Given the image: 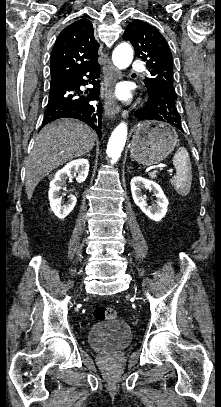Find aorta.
<instances>
[{
	"mask_svg": "<svg viewBox=\"0 0 221 407\" xmlns=\"http://www.w3.org/2000/svg\"><path fill=\"white\" fill-rule=\"evenodd\" d=\"M112 60L118 69L127 68L133 60V49L129 43L119 44L113 51ZM127 139V125L121 122L112 132L108 142L106 154L111 163H116L121 156Z\"/></svg>",
	"mask_w": 221,
	"mask_h": 407,
	"instance_id": "762f6f07",
	"label": "aorta"
}]
</instances>
